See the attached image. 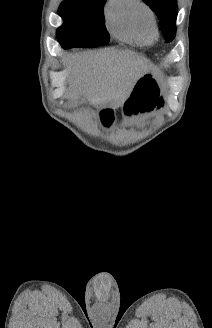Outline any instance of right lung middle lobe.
Listing matches in <instances>:
<instances>
[{
	"instance_id": "right-lung-middle-lobe-1",
	"label": "right lung middle lobe",
	"mask_w": 212,
	"mask_h": 328,
	"mask_svg": "<svg viewBox=\"0 0 212 328\" xmlns=\"http://www.w3.org/2000/svg\"><path fill=\"white\" fill-rule=\"evenodd\" d=\"M106 0H65L59 7L64 23L57 30L63 48L96 47L109 42L104 24Z\"/></svg>"
}]
</instances>
